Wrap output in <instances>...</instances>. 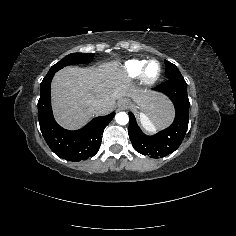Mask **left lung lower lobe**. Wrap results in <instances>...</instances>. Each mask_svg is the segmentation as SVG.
<instances>
[{
    "label": "left lung lower lobe",
    "instance_id": "obj_1",
    "mask_svg": "<svg viewBox=\"0 0 236 236\" xmlns=\"http://www.w3.org/2000/svg\"><path fill=\"white\" fill-rule=\"evenodd\" d=\"M155 90L166 94L172 100L176 110L174 122L156 135L147 136L138 127L134 115L129 112L128 134L133 147L139 153L151 158H162L173 153L182 143L188 128L190 103L184 78L167 79Z\"/></svg>",
    "mask_w": 236,
    "mask_h": 236
}]
</instances>
